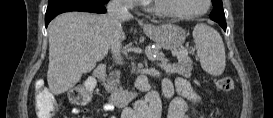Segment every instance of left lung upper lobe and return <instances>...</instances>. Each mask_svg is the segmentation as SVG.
I'll list each match as a JSON object with an SVG mask.
<instances>
[{
    "instance_id": "5c2ea615",
    "label": "left lung upper lobe",
    "mask_w": 273,
    "mask_h": 118,
    "mask_svg": "<svg viewBox=\"0 0 273 118\" xmlns=\"http://www.w3.org/2000/svg\"><path fill=\"white\" fill-rule=\"evenodd\" d=\"M212 4L214 6V10L211 12L210 18L219 24L225 23L222 0H212Z\"/></svg>"
}]
</instances>
